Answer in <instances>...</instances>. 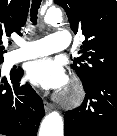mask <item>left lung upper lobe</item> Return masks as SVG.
I'll return each instance as SVG.
<instances>
[{
    "instance_id": "5c2ea615",
    "label": "left lung upper lobe",
    "mask_w": 117,
    "mask_h": 136,
    "mask_svg": "<svg viewBox=\"0 0 117 136\" xmlns=\"http://www.w3.org/2000/svg\"><path fill=\"white\" fill-rule=\"evenodd\" d=\"M62 6L75 34L82 33L79 53L73 69L83 82L91 84L97 77L117 72V2L116 0H54Z\"/></svg>"
}]
</instances>
